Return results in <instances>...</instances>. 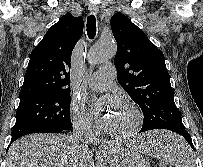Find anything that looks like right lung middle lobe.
Wrapping results in <instances>:
<instances>
[{
	"label": "right lung middle lobe",
	"mask_w": 203,
	"mask_h": 167,
	"mask_svg": "<svg viewBox=\"0 0 203 167\" xmlns=\"http://www.w3.org/2000/svg\"><path fill=\"white\" fill-rule=\"evenodd\" d=\"M70 101V91L43 94L20 101L12 139L50 129L70 130Z\"/></svg>",
	"instance_id": "dd1d6c3e"
}]
</instances>
